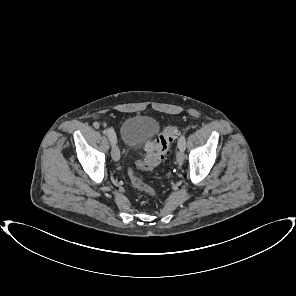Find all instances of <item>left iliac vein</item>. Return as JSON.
Instances as JSON below:
<instances>
[{"instance_id": "4c4485c4", "label": "left iliac vein", "mask_w": 296, "mask_h": 296, "mask_svg": "<svg viewBox=\"0 0 296 296\" xmlns=\"http://www.w3.org/2000/svg\"><path fill=\"white\" fill-rule=\"evenodd\" d=\"M184 157H185V155H184L183 149H179L178 152H177V154H176V160H177V162L178 163H182L184 161Z\"/></svg>"}]
</instances>
